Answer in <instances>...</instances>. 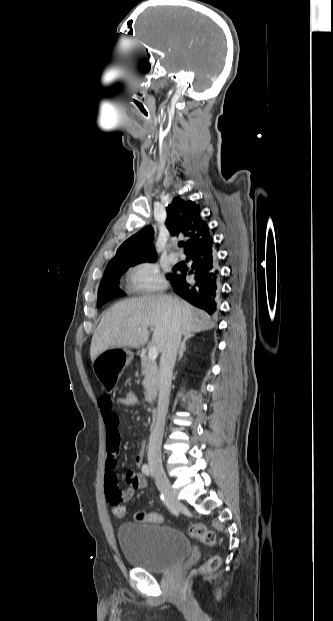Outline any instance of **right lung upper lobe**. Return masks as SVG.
I'll return each mask as SVG.
<instances>
[{
	"instance_id": "obj_1",
	"label": "right lung upper lobe",
	"mask_w": 333,
	"mask_h": 621,
	"mask_svg": "<svg viewBox=\"0 0 333 621\" xmlns=\"http://www.w3.org/2000/svg\"><path fill=\"white\" fill-rule=\"evenodd\" d=\"M166 225L172 236L183 234L188 238L180 242L184 253L205 249L213 244L207 223L200 216V206L192 201L175 198L168 205ZM154 230L147 226L127 239L117 250L108 266L156 259L153 246Z\"/></svg>"
}]
</instances>
